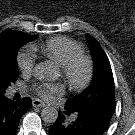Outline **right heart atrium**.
I'll list each match as a JSON object with an SVG mask.
<instances>
[{"label":"right heart atrium","instance_id":"1","mask_svg":"<svg viewBox=\"0 0 135 135\" xmlns=\"http://www.w3.org/2000/svg\"><path fill=\"white\" fill-rule=\"evenodd\" d=\"M36 57L33 52L28 50L20 51L16 56L18 68L23 74H30L35 66Z\"/></svg>","mask_w":135,"mask_h":135}]
</instances>
